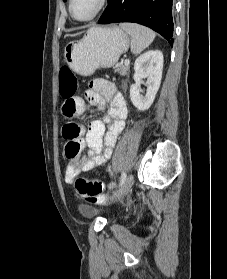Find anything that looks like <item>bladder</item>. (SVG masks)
<instances>
[{"instance_id": "obj_1", "label": "bladder", "mask_w": 227, "mask_h": 279, "mask_svg": "<svg viewBox=\"0 0 227 279\" xmlns=\"http://www.w3.org/2000/svg\"><path fill=\"white\" fill-rule=\"evenodd\" d=\"M81 212L85 215V216H92L95 215L97 213V211L89 206H81Z\"/></svg>"}]
</instances>
